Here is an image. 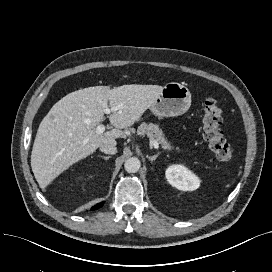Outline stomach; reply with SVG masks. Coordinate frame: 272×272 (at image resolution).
<instances>
[{"label":"stomach","instance_id":"0dacf381","mask_svg":"<svg viewBox=\"0 0 272 272\" xmlns=\"http://www.w3.org/2000/svg\"><path fill=\"white\" fill-rule=\"evenodd\" d=\"M191 106L189 89L177 82L167 83L150 107L151 112L159 117H172L184 114Z\"/></svg>","mask_w":272,"mask_h":272}]
</instances>
